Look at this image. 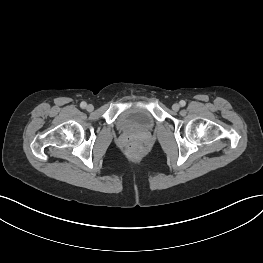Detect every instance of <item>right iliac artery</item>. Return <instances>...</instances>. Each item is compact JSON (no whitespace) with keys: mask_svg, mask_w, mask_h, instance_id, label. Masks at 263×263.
Masks as SVG:
<instances>
[{"mask_svg":"<svg viewBox=\"0 0 263 263\" xmlns=\"http://www.w3.org/2000/svg\"><path fill=\"white\" fill-rule=\"evenodd\" d=\"M86 106H87L86 102H84V101L81 102V104H80V107H81V108H85Z\"/></svg>","mask_w":263,"mask_h":263,"instance_id":"right-iliac-artery-1","label":"right iliac artery"}]
</instances>
